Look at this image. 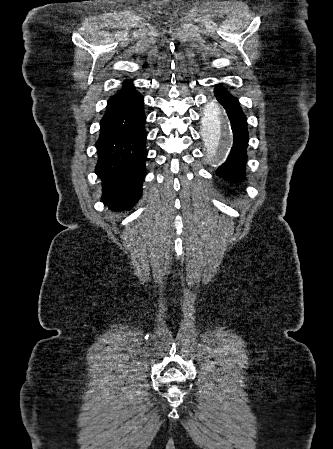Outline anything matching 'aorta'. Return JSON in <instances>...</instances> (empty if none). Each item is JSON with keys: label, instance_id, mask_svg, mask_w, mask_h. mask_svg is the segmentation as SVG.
I'll use <instances>...</instances> for the list:
<instances>
[{"label": "aorta", "instance_id": "762f6f07", "mask_svg": "<svg viewBox=\"0 0 333 449\" xmlns=\"http://www.w3.org/2000/svg\"><path fill=\"white\" fill-rule=\"evenodd\" d=\"M204 142L213 156L223 157L229 149L232 134L223 110L215 103L206 107L204 115Z\"/></svg>", "mask_w": 333, "mask_h": 449}]
</instances>
